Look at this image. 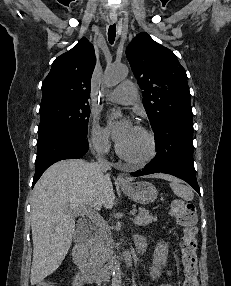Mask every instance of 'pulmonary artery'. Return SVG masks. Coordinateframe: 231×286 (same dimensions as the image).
Returning <instances> with one entry per match:
<instances>
[{
  "label": "pulmonary artery",
  "instance_id": "obj_1",
  "mask_svg": "<svg viewBox=\"0 0 231 286\" xmlns=\"http://www.w3.org/2000/svg\"><path fill=\"white\" fill-rule=\"evenodd\" d=\"M107 99L120 104H132L137 99L136 86L131 81H123L107 95Z\"/></svg>",
  "mask_w": 231,
  "mask_h": 286
}]
</instances>
